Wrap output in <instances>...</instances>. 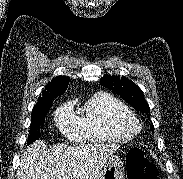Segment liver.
Wrapping results in <instances>:
<instances>
[{"label":"liver","instance_id":"liver-1","mask_svg":"<svg viewBox=\"0 0 183 179\" xmlns=\"http://www.w3.org/2000/svg\"><path fill=\"white\" fill-rule=\"evenodd\" d=\"M117 149L115 144H58L49 150L38 140L24 151L16 179H97Z\"/></svg>","mask_w":183,"mask_h":179}]
</instances>
